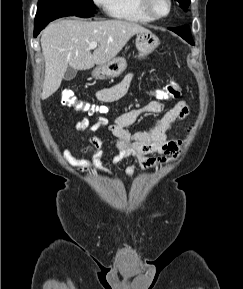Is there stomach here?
I'll list each match as a JSON object with an SVG mask.
<instances>
[{"instance_id":"obj_1","label":"stomach","mask_w":243,"mask_h":289,"mask_svg":"<svg viewBox=\"0 0 243 289\" xmlns=\"http://www.w3.org/2000/svg\"><path fill=\"white\" fill-rule=\"evenodd\" d=\"M138 57L144 58L152 53L160 44L159 38L151 31L137 33L135 40ZM127 67V62L123 57H115L105 64L98 65L92 72L96 79H107L121 75Z\"/></svg>"}]
</instances>
